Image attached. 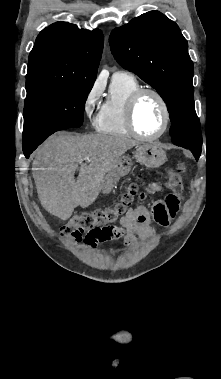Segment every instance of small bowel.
Wrapping results in <instances>:
<instances>
[{"mask_svg": "<svg viewBox=\"0 0 221 379\" xmlns=\"http://www.w3.org/2000/svg\"><path fill=\"white\" fill-rule=\"evenodd\" d=\"M158 190V186L152 184L149 191ZM164 199L158 198L151 210L149 211L144 205H139L136 209H129L125 216L120 219L119 226H113L104 233L91 234L85 238V243L89 247H94L98 242L111 239L123 238L129 247H135L138 239L147 240L153 237L156 229L151 224V218L162 226L170 224L175 217L181 190H165ZM144 198V195H141Z\"/></svg>", "mask_w": 221, "mask_h": 379, "instance_id": "1", "label": "small bowel"}]
</instances>
